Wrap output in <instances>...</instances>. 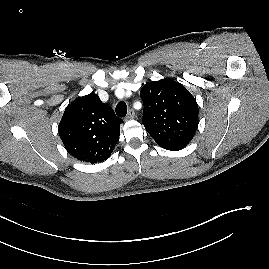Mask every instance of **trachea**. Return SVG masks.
Here are the masks:
<instances>
[{
  "label": "trachea",
  "mask_w": 269,
  "mask_h": 269,
  "mask_svg": "<svg viewBox=\"0 0 269 269\" xmlns=\"http://www.w3.org/2000/svg\"><path fill=\"white\" fill-rule=\"evenodd\" d=\"M116 114L119 117H125L127 114V106L126 103L121 101L116 106Z\"/></svg>",
  "instance_id": "3493384b"
}]
</instances>
